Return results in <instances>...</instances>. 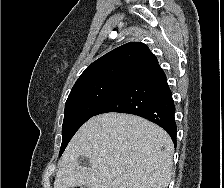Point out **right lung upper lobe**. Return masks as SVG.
<instances>
[{
    "label": "right lung upper lobe",
    "mask_w": 224,
    "mask_h": 188,
    "mask_svg": "<svg viewBox=\"0 0 224 188\" xmlns=\"http://www.w3.org/2000/svg\"><path fill=\"white\" fill-rule=\"evenodd\" d=\"M158 60L149 48L140 42L124 44L93 62L81 74L75 85L102 78L134 79Z\"/></svg>",
    "instance_id": "right-lung-upper-lobe-1"
}]
</instances>
